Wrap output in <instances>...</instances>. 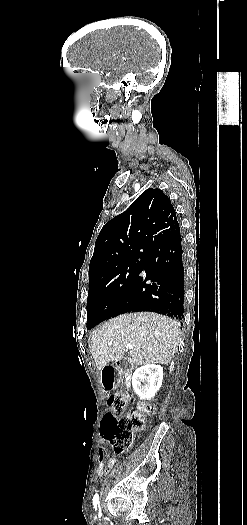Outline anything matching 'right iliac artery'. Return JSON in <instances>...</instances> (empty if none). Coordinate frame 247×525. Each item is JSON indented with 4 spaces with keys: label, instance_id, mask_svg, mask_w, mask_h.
<instances>
[{
    "label": "right iliac artery",
    "instance_id": "right-iliac-artery-1",
    "mask_svg": "<svg viewBox=\"0 0 247 525\" xmlns=\"http://www.w3.org/2000/svg\"><path fill=\"white\" fill-rule=\"evenodd\" d=\"M98 503H99V495L95 494L93 497V505H94L95 510H97Z\"/></svg>",
    "mask_w": 247,
    "mask_h": 525
}]
</instances>
